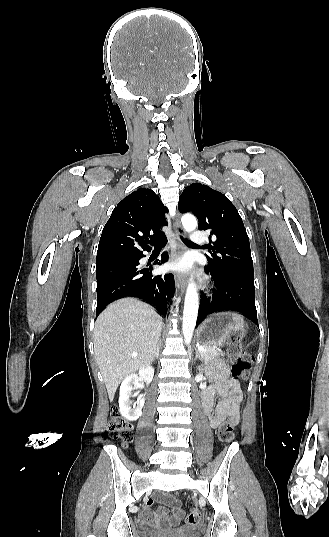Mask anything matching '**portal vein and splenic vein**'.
<instances>
[{
  "label": "portal vein and splenic vein",
  "mask_w": 329,
  "mask_h": 537,
  "mask_svg": "<svg viewBox=\"0 0 329 537\" xmlns=\"http://www.w3.org/2000/svg\"><path fill=\"white\" fill-rule=\"evenodd\" d=\"M198 349H199V351H205V349L203 347H201V346H198ZM132 356L135 357V356H137V354L134 353V354H132Z\"/></svg>",
  "instance_id": "18ae733b"
}]
</instances>
